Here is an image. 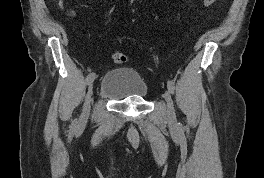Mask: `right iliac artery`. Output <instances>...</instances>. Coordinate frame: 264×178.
Masks as SVG:
<instances>
[{
	"mask_svg": "<svg viewBox=\"0 0 264 178\" xmlns=\"http://www.w3.org/2000/svg\"><path fill=\"white\" fill-rule=\"evenodd\" d=\"M94 77H95V73H90V74L87 76V78H86V82H87V84H89V83L91 82V80L94 79ZM76 124H77V121H74V122H73V126L75 127Z\"/></svg>",
	"mask_w": 264,
	"mask_h": 178,
	"instance_id": "right-iliac-artery-1",
	"label": "right iliac artery"
}]
</instances>
